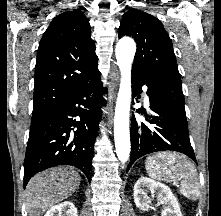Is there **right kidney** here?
Segmentation results:
<instances>
[{"mask_svg":"<svg viewBox=\"0 0 221 216\" xmlns=\"http://www.w3.org/2000/svg\"><path fill=\"white\" fill-rule=\"evenodd\" d=\"M44 216H78L77 208L70 201L51 207Z\"/></svg>","mask_w":221,"mask_h":216,"instance_id":"1","label":"right kidney"}]
</instances>
